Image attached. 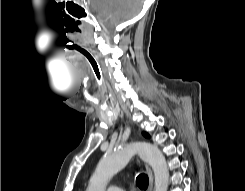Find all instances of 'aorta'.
Returning a JSON list of instances; mask_svg holds the SVG:
<instances>
[{"label": "aorta", "mask_w": 245, "mask_h": 191, "mask_svg": "<svg viewBox=\"0 0 245 191\" xmlns=\"http://www.w3.org/2000/svg\"><path fill=\"white\" fill-rule=\"evenodd\" d=\"M138 154L153 169L154 191H167L169 170L166 159L159 148L147 142H133L104 155L90 179L87 191H106L110 179L122 170L132 156Z\"/></svg>", "instance_id": "aorta-1"}]
</instances>
